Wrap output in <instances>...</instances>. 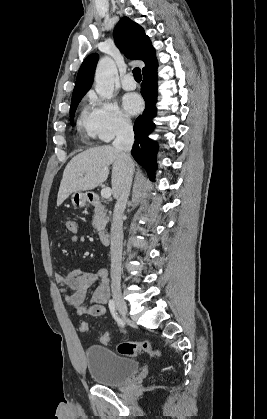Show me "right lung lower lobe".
I'll use <instances>...</instances> for the list:
<instances>
[{"label":"right lung lower lobe","instance_id":"98d812e1","mask_svg":"<svg viewBox=\"0 0 267 419\" xmlns=\"http://www.w3.org/2000/svg\"><path fill=\"white\" fill-rule=\"evenodd\" d=\"M157 63L143 72L141 93L145 100L146 108L134 123L135 142L132 148V156L143 166L153 180L156 170L157 144L148 138L153 130L152 119L156 116L157 102Z\"/></svg>","mask_w":267,"mask_h":419}]
</instances>
